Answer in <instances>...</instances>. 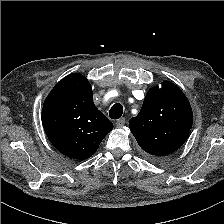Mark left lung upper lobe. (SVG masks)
Segmentation results:
<instances>
[{"label": "left lung upper lobe", "instance_id": "1", "mask_svg": "<svg viewBox=\"0 0 224 224\" xmlns=\"http://www.w3.org/2000/svg\"><path fill=\"white\" fill-rule=\"evenodd\" d=\"M193 123L190 103L174 83L151 88L142 108L129 122L139 146L153 156H165L187 140Z\"/></svg>", "mask_w": 224, "mask_h": 224}]
</instances>
